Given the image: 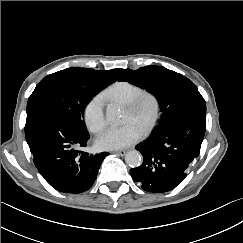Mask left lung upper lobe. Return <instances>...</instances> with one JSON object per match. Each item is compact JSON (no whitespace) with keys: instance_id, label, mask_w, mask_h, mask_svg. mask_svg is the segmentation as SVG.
Here are the masks:
<instances>
[{"instance_id":"5c2ea615","label":"left lung upper lobe","mask_w":243,"mask_h":243,"mask_svg":"<svg viewBox=\"0 0 243 243\" xmlns=\"http://www.w3.org/2000/svg\"><path fill=\"white\" fill-rule=\"evenodd\" d=\"M118 80L146 89L157 98L161 119L152 136L162 133L171 120L183 111L206 105L197 87L188 78L162 66L125 69Z\"/></svg>"}]
</instances>
